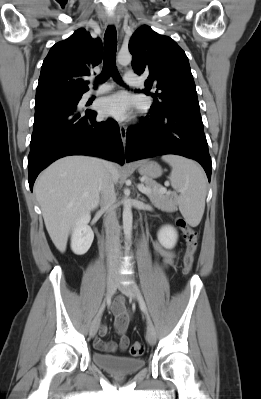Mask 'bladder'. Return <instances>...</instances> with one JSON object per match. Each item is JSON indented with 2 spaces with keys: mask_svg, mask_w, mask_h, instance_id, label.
I'll list each match as a JSON object with an SVG mask.
<instances>
[{
  "mask_svg": "<svg viewBox=\"0 0 261 399\" xmlns=\"http://www.w3.org/2000/svg\"><path fill=\"white\" fill-rule=\"evenodd\" d=\"M93 362L103 370L120 375H132L144 367V360L119 355H105L98 352L92 354Z\"/></svg>",
  "mask_w": 261,
  "mask_h": 399,
  "instance_id": "1",
  "label": "bladder"
}]
</instances>
